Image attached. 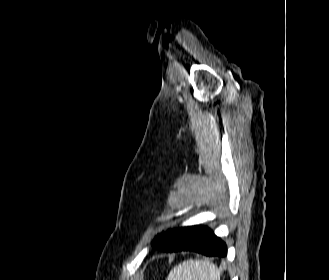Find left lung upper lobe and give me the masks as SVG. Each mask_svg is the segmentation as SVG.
I'll return each instance as SVG.
<instances>
[{"label":"left lung upper lobe","instance_id":"obj_1","mask_svg":"<svg viewBox=\"0 0 329 280\" xmlns=\"http://www.w3.org/2000/svg\"><path fill=\"white\" fill-rule=\"evenodd\" d=\"M167 238L168 237L164 236V234L157 236L156 240L152 243L153 247L157 249H162L166 245Z\"/></svg>","mask_w":329,"mask_h":280}]
</instances>
